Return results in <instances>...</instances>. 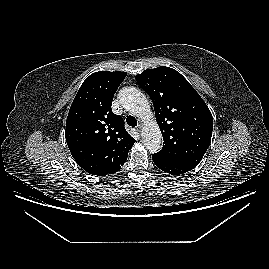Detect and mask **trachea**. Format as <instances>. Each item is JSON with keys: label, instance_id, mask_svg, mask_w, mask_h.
<instances>
[{"label": "trachea", "instance_id": "obj_1", "mask_svg": "<svg viewBox=\"0 0 269 269\" xmlns=\"http://www.w3.org/2000/svg\"><path fill=\"white\" fill-rule=\"evenodd\" d=\"M126 122L131 127H135L137 125V120L131 115L127 117Z\"/></svg>", "mask_w": 269, "mask_h": 269}]
</instances>
